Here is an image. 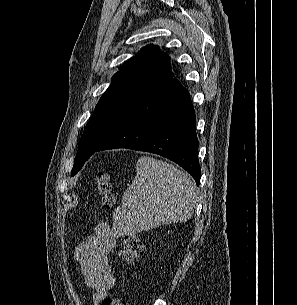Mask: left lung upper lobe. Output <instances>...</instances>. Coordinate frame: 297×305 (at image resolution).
<instances>
[{
	"label": "left lung upper lobe",
	"mask_w": 297,
	"mask_h": 305,
	"mask_svg": "<svg viewBox=\"0 0 297 305\" xmlns=\"http://www.w3.org/2000/svg\"><path fill=\"white\" fill-rule=\"evenodd\" d=\"M169 61L170 57L161 52L158 46L147 45L119 68L85 127L74 159L72 176L100 147L120 116L144 89L156 81L173 77Z\"/></svg>",
	"instance_id": "obj_1"
}]
</instances>
